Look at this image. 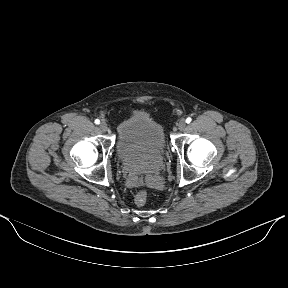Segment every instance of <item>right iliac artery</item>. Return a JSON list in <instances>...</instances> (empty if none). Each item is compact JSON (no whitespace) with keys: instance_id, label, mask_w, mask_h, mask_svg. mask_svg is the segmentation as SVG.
<instances>
[{"instance_id":"1","label":"right iliac artery","mask_w":288,"mask_h":288,"mask_svg":"<svg viewBox=\"0 0 288 288\" xmlns=\"http://www.w3.org/2000/svg\"><path fill=\"white\" fill-rule=\"evenodd\" d=\"M95 124H97V125L100 124V120H99V119H96V120H95Z\"/></svg>"}]
</instances>
